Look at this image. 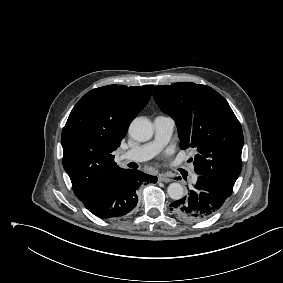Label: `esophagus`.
Instances as JSON below:
<instances>
[{
	"instance_id": "obj_1",
	"label": "esophagus",
	"mask_w": 283,
	"mask_h": 283,
	"mask_svg": "<svg viewBox=\"0 0 283 283\" xmlns=\"http://www.w3.org/2000/svg\"><path fill=\"white\" fill-rule=\"evenodd\" d=\"M158 180L161 181V182H165V183L171 182V178H169V177H167V176H165V175H160V176L158 177Z\"/></svg>"
}]
</instances>
